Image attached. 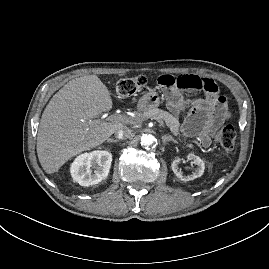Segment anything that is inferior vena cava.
<instances>
[{"label":"inferior vena cava","mask_w":269,"mask_h":269,"mask_svg":"<svg viewBox=\"0 0 269 269\" xmlns=\"http://www.w3.org/2000/svg\"><path fill=\"white\" fill-rule=\"evenodd\" d=\"M132 135V130L128 127H123L115 132L117 139L128 138Z\"/></svg>","instance_id":"1"}]
</instances>
